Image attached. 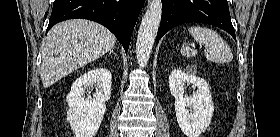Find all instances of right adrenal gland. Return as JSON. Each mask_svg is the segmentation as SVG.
<instances>
[{"instance_id":"2a0ac1e0","label":"right adrenal gland","mask_w":280,"mask_h":137,"mask_svg":"<svg viewBox=\"0 0 280 137\" xmlns=\"http://www.w3.org/2000/svg\"><path fill=\"white\" fill-rule=\"evenodd\" d=\"M110 53L114 54V55H117L114 51V48L110 50Z\"/></svg>"}]
</instances>
